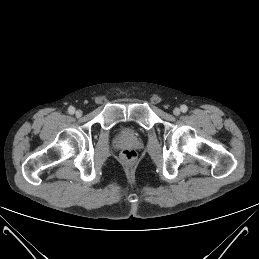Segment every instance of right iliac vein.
<instances>
[{"label":"right iliac vein","instance_id":"63e3f726","mask_svg":"<svg viewBox=\"0 0 259 259\" xmlns=\"http://www.w3.org/2000/svg\"><path fill=\"white\" fill-rule=\"evenodd\" d=\"M75 115H76V117H81L82 116V111L81 110H77Z\"/></svg>","mask_w":259,"mask_h":259}]
</instances>
